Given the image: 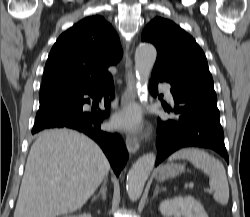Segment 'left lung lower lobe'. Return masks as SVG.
I'll list each match as a JSON object with an SVG mask.
<instances>
[{"label":"left lung lower lobe","mask_w":250,"mask_h":217,"mask_svg":"<svg viewBox=\"0 0 250 217\" xmlns=\"http://www.w3.org/2000/svg\"><path fill=\"white\" fill-rule=\"evenodd\" d=\"M158 82L167 81L152 74L149 90L153 96L158 93ZM171 93L175 106H164V110L173 116L169 119L158 118L155 165L186 147L212 149L229 162L214 89L171 84Z\"/></svg>","instance_id":"0a47b994"}]
</instances>
